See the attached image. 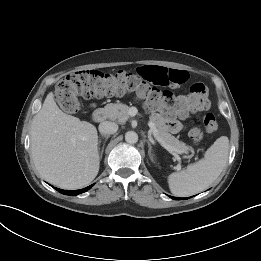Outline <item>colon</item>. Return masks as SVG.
Instances as JSON below:
<instances>
[{
    "label": "colon",
    "mask_w": 261,
    "mask_h": 261,
    "mask_svg": "<svg viewBox=\"0 0 261 261\" xmlns=\"http://www.w3.org/2000/svg\"><path fill=\"white\" fill-rule=\"evenodd\" d=\"M134 93L144 99L152 110L163 112L166 116H185L209 107V88L203 82L193 83L187 94H175L168 90H158L148 85L138 75L120 70L113 73L99 70H82L62 78L56 86L55 98L62 110L77 112L79 97L85 99ZM207 132H214L218 125L212 113H206L202 119ZM195 142L202 139L198 126L190 130Z\"/></svg>",
    "instance_id": "colon-1"
}]
</instances>
